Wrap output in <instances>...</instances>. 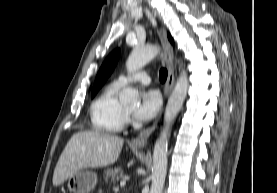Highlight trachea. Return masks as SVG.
Segmentation results:
<instances>
[{"label":"trachea","instance_id":"obj_1","mask_svg":"<svg viewBox=\"0 0 277 193\" xmlns=\"http://www.w3.org/2000/svg\"><path fill=\"white\" fill-rule=\"evenodd\" d=\"M167 79V70L162 68L159 72V80L164 82Z\"/></svg>","mask_w":277,"mask_h":193}]
</instances>
